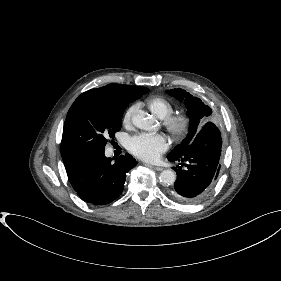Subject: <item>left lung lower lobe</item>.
<instances>
[{
	"label": "left lung lower lobe",
	"mask_w": 281,
	"mask_h": 281,
	"mask_svg": "<svg viewBox=\"0 0 281 281\" xmlns=\"http://www.w3.org/2000/svg\"><path fill=\"white\" fill-rule=\"evenodd\" d=\"M221 151V133L213 123L207 122L183 155L167 156L169 161H178L184 166L173 167L177 180L171 190L172 195L185 203L203 199L218 177Z\"/></svg>",
	"instance_id": "left-lung-lower-lobe-1"
}]
</instances>
